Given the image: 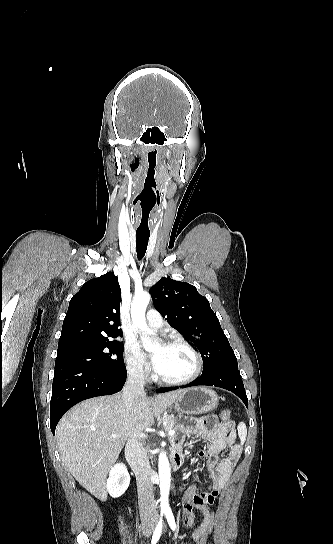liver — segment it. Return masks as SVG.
Returning a JSON list of instances; mask_svg holds the SVG:
<instances>
[{
    "instance_id": "obj_1",
    "label": "liver",
    "mask_w": 333,
    "mask_h": 544,
    "mask_svg": "<svg viewBox=\"0 0 333 544\" xmlns=\"http://www.w3.org/2000/svg\"><path fill=\"white\" fill-rule=\"evenodd\" d=\"M184 390L140 395L128 411L122 394L85 400L72 408L59 422L56 438L62 460L87 491L106 500L107 471L132 434L154 424V417L171 406ZM116 437L113 438L112 435Z\"/></svg>"
}]
</instances>
